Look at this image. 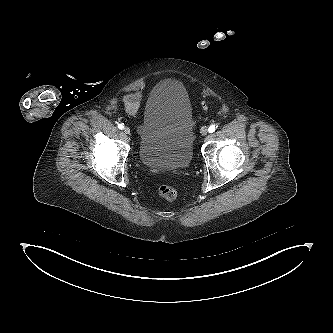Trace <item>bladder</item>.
Masks as SVG:
<instances>
[{"label": "bladder", "mask_w": 333, "mask_h": 333, "mask_svg": "<svg viewBox=\"0 0 333 333\" xmlns=\"http://www.w3.org/2000/svg\"><path fill=\"white\" fill-rule=\"evenodd\" d=\"M139 158L147 167L175 170L193 156V118L185 86L166 78L151 90L139 127Z\"/></svg>", "instance_id": "31cf9c89"}]
</instances>
